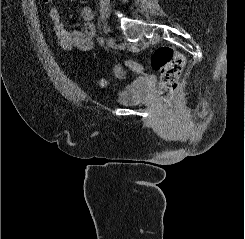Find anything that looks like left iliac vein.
Instances as JSON below:
<instances>
[{"label":"left iliac vein","instance_id":"4c4485c4","mask_svg":"<svg viewBox=\"0 0 245 239\" xmlns=\"http://www.w3.org/2000/svg\"><path fill=\"white\" fill-rule=\"evenodd\" d=\"M114 44H115L114 39L112 37H108V39H107V46L109 48H113L114 47Z\"/></svg>","mask_w":245,"mask_h":239}]
</instances>
